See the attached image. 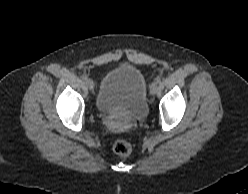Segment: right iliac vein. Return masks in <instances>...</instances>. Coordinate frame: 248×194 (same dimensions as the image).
<instances>
[{
    "instance_id": "obj_1",
    "label": "right iliac vein",
    "mask_w": 248,
    "mask_h": 194,
    "mask_svg": "<svg viewBox=\"0 0 248 194\" xmlns=\"http://www.w3.org/2000/svg\"><path fill=\"white\" fill-rule=\"evenodd\" d=\"M86 86H87V88L88 89H93V87H94V83H93V81L91 80V79H88L87 81H86Z\"/></svg>"
}]
</instances>
